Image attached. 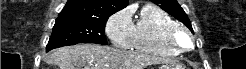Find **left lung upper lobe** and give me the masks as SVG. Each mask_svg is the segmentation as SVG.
I'll list each match as a JSON object with an SVG mask.
<instances>
[{
	"instance_id": "left-lung-upper-lobe-1",
	"label": "left lung upper lobe",
	"mask_w": 246,
	"mask_h": 69,
	"mask_svg": "<svg viewBox=\"0 0 246 69\" xmlns=\"http://www.w3.org/2000/svg\"><path fill=\"white\" fill-rule=\"evenodd\" d=\"M156 5L160 6L168 14L175 17L177 20L185 24L192 32L191 22L187 14L183 11L181 6L177 3L176 0H151Z\"/></svg>"
}]
</instances>
